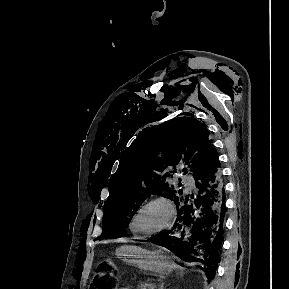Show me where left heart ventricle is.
Wrapping results in <instances>:
<instances>
[{
	"instance_id": "obj_1",
	"label": "left heart ventricle",
	"mask_w": 289,
	"mask_h": 289,
	"mask_svg": "<svg viewBox=\"0 0 289 289\" xmlns=\"http://www.w3.org/2000/svg\"><path fill=\"white\" fill-rule=\"evenodd\" d=\"M167 208L159 203L146 207L136 220V228L142 232H151L161 228L168 221Z\"/></svg>"
}]
</instances>
